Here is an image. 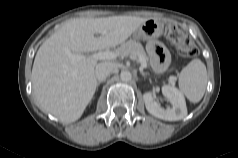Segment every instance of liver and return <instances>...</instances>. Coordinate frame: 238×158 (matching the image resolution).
I'll use <instances>...</instances> for the list:
<instances>
[{
    "instance_id": "liver-1",
    "label": "liver",
    "mask_w": 238,
    "mask_h": 158,
    "mask_svg": "<svg viewBox=\"0 0 238 158\" xmlns=\"http://www.w3.org/2000/svg\"><path fill=\"white\" fill-rule=\"evenodd\" d=\"M147 19L112 16L66 21L40 46L35 56L32 86L40 108L64 123L77 121L96 91L97 60L84 58L72 63L66 50L78 54L116 47Z\"/></svg>"
}]
</instances>
